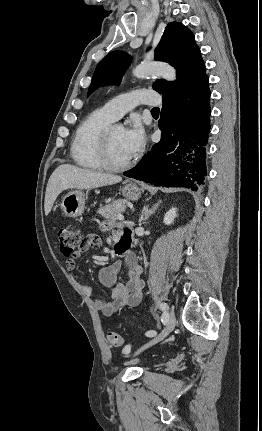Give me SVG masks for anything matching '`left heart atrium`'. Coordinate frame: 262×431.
<instances>
[{
    "mask_svg": "<svg viewBox=\"0 0 262 431\" xmlns=\"http://www.w3.org/2000/svg\"><path fill=\"white\" fill-rule=\"evenodd\" d=\"M123 141L131 158L137 156L143 149L146 141L144 129L137 121L124 130Z\"/></svg>",
    "mask_w": 262,
    "mask_h": 431,
    "instance_id": "obj_1",
    "label": "left heart atrium"
}]
</instances>
